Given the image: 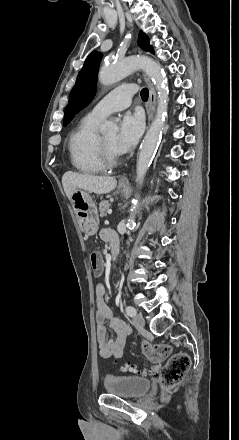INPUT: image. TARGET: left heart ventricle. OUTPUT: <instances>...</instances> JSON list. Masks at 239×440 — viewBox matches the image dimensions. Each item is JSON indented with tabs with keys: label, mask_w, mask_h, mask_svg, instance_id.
Listing matches in <instances>:
<instances>
[{
	"label": "left heart ventricle",
	"mask_w": 239,
	"mask_h": 440,
	"mask_svg": "<svg viewBox=\"0 0 239 440\" xmlns=\"http://www.w3.org/2000/svg\"><path fill=\"white\" fill-rule=\"evenodd\" d=\"M100 136H101L103 142L105 143V145L109 149L114 151L113 145H114V142H115L116 134L115 133H107V134H103V135H100Z\"/></svg>",
	"instance_id": "left-heart-ventricle-1"
}]
</instances>
